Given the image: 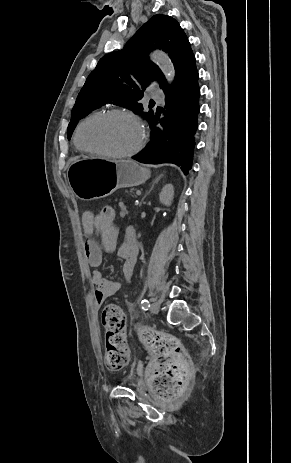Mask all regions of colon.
Instances as JSON below:
<instances>
[{
  "label": "colon",
  "mask_w": 291,
  "mask_h": 463,
  "mask_svg": "<svg viewBox=\"0 0 291 463\" xmlns=\"http://www.w3.org/2000/svg\"><path fill=\"white\" fill-rule=\"evenodd\" d=\"M118 221V208L103 204L96 210V223L99 231L114 226ZM102 325L105 329V364L109 370L124 368L129 360L125 334L126 320L122 310L107 306L102 313ZM144 342L155 357L149 371L159 395H170L174 390L185 386L190 378L191 369L181 342L174 336L144 330L141 334Z\"/></svg>",
  "instance_id": "colon-1"
}]
</instances>
